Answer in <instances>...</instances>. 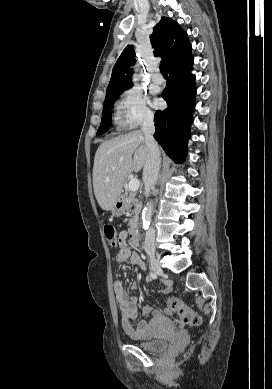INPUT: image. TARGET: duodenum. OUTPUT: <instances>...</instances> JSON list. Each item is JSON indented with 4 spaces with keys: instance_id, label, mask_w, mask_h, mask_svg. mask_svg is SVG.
Masks as SVG:
<instances>
[{
    "instance_id": "duodenum-1",
    "label": "duodenum",
    "mask_w": 272,
    "mask_h": 389,
    "mask_svg": "<svg viewBox=\"0 0 272 389\" xmlns=\"http://www.w3.org/2000/svg\"><path fill=\"white\" fill-rule=\"evenodd\" d=\"M129 238H130L132 245H134L135 247L141 246L140 235H139L138 229L136 227H133L130 230Z\"/></svg>"
}]
</instances>
